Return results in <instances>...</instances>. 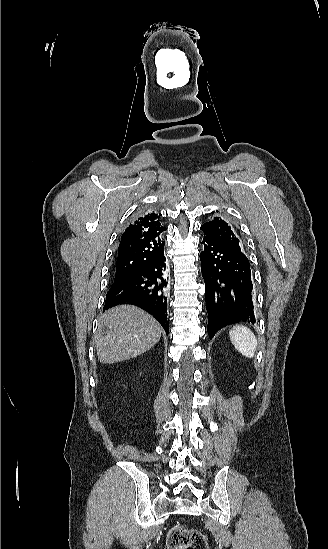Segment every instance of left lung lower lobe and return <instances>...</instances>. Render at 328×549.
Listing matches in <instances>:
<instances>
[{
    "label": "left lung lower lobe",
    "instance_id": "1",
    "mask_svg": "<svg viewBox=\"0 0 328 549\" xmlns=\"http://www.w3.org/2000/svg\"><path fill=\"white\" fill-rule=\"evenodd\" d=\"M200 253L205 282L208 335L237 322L255 323L250 264L238 249L204 236Z\"/></svg>",
    "mask_w": 328,
    "mask_h": 549
}]
</instances>
